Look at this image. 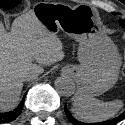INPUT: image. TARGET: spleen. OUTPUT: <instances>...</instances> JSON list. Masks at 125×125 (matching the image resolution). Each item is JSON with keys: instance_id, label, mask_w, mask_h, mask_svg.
Listing matches in <instances>:
<instances>
[{"instance_id": "obj_1", "label": "spleen", "mask_w": 125, "mask_h": 125, "mask_svg": "<svg viewBox=\"0 0 125 125\" xmlns=\"http://www.w3.org/2000/svg\"><path fill=\"white\" fill-rule=\"evenodd\" d=\"M122 107L121 100L103 102L78 90L71 110L73 115L81 121L99 122L112 118Z\"/></svg>"}]
</instances>
